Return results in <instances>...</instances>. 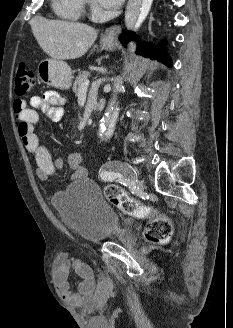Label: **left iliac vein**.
Listing matches in <instances>:
<instances>
[{
  "instance_id": "4c4485c4",
  "label": "left iliac vein",
  "mask_w": 233,
  "mask_h": 328,
  "mask_svg": "<svg viewBox=\"0 0 233 328\" xmlns=\"http://www.w3.org/2000/svg\"><path fill=\"white\" fill-rule=\"evenodd\" d=\"M120 170L123 173V175L125 176L124 179H126L127 182L131 186H135L139 190H143L144 189V185H143L142 181H140L138 179L137 173L135 172V170L131 166L126 165V164H123L121 166V169Z\"/></svg>"
}]
</instances>
